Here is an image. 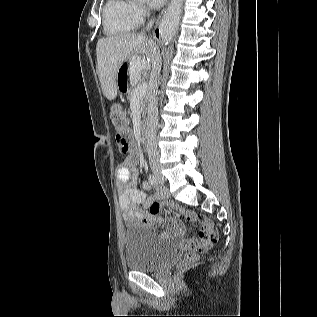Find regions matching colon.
Instances as JSON below:
<instances>
[{
	"label": "colon",
	"instance_id": "5ec220e1",
	"mask_svg": "<svg viewBox=\"0 0 317 317\" xmlns=\"http://www.w3.org/2000/svg\"><path fill=\"white\" fill-rule=\"evenodd\" d=\"M110 119L115 130L118 149L122 153L128 154L127 162L133 164L135 161V139L127 116L120 107L114 106L110 112ZM163 208L182 211L178 206L173 204L154 202L150 205L149 212L156 216ZM216 241L217 234L212 227L201 231L198 239H192L188 242L187 252L183 258L182 264H193L198 259L199 255L209 250Z\"/></svg>",
	"mask_w": 317,
	"mask_h": 317
}]
</instances>
